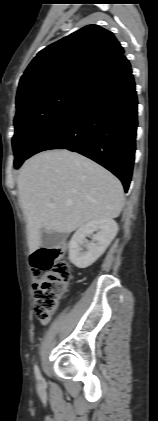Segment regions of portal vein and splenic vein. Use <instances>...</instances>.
Segmentation results:
<instances>
[{
  "label": "portal vein and splenic vein",
  "instance_id": "portal-vein-and-splenic-vein-1",
  "mask_svg": "<svg viewBox=\"0 0 158 421\" xmlns=\"http://www.w3.org/2000/svg\"><path fill=\"white\" fill-rule=\"evenodd\" d=\"M49 206H50V207H55L56 205H55V204H50Z\"/></svg>",
  "mask_w": 158,
  "mask_h": 421
}]
</instances>
